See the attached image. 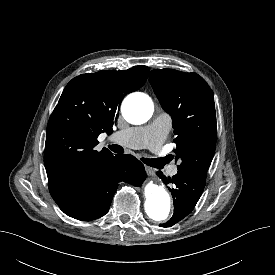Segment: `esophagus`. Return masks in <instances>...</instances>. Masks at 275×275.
Listing matches in <instances>:
<instances>
[{"instance_id": "obj_1", "label": "esophagus", "mask_w": 275, "mask_h": 275, "mask_svg": "<svg viewBox=\"0 0 275 275\" xmlns=\"http://www.w3.org/2000/svg\"><path fill=\"white\" fill-rule=\"evenodd\" d=\"M145 170H146L147 174L150 176H153L155 174V169H153L149 166H145Z\"/></svg>"}]
</instances>
